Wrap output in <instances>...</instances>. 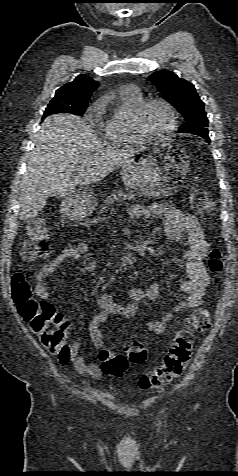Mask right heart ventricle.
Segmentation results:
<instances>
[{
	"label": "right heart ventricle",
	"mask_w": 238,
	"mask_h": 476,
	"mask_svg": "<svg viewBox=\"0 0 238 476\" xmlns=\"http://www.w3.org/2000/svg\"><path fill=\"white\" fill-rule=\"evenodd\" d=\"M142 101L143 97L138 91H119L110 113L100 119L101 132L110 143L117 146L138 143L131 130L130 118Z\"/></svg>",
	"instance_id": "e07e8e85"
}]
</instances>
